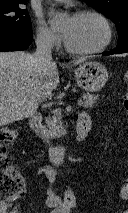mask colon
I'll list each match as a JSON object with an SVG mask.
<instances>
[{
  "mask_svg": "<svg viewBox=\"0 0 128 213\" xmlns=\"http://www.w3.org/2000/svg\"><path fill=\"white\" fill-rule=\"evenodd\" d=\"M124 81L128 85V70L124 73ZM123 106L128 111V92L124 96ZM19 134V129L7 126L0 129V201L13 202L19 199L25 192V180L19 171L13 166L8 153ZM121 195L128 200V178L123 182ZM76 204L74 191L69 188L63 196L62 209L72 210Z\"/></svg>",
  "mask_w": 128,
  "mask_h": 213,
  "instance_id": "1",
  "label": "colon"
}]
</instances>
